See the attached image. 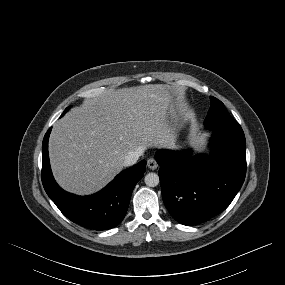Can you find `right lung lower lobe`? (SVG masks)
<instances>
[{
	"label": "right lung lower lobe",
	"mask_w": 285,
	"mask_h": 285,
	"mask_svg": "<svg viewBox=\"0 0 285 285\" xmlns=\"http://www.w3.org/2000/svg\"><path fill=\"white\" fill-rule=\"evenodd\" d=\"M50 132L51 128L42 143V183L48 196L68 219L85 228L106 230L117 226L127 212L135 185L144 175L146 161L122 171L94 195H73L61 189L53 178L48 156Z\"/></svg>",
	"instance_id": "right-lung-lower-lobe-1"
}]
</instances>
